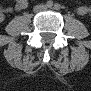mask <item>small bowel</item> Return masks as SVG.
<instances>
[{"mask_svg":"<svg viewBox=\"0 0 91 91\" xmlns=\"http://www.w3.org/2000/svg\"><path fill=\"white\" fill-rule=\"evenodd\" d=\"M27 6H28L27 0H17V1L15 2L14 9H15V10H23V9H25ZM11 10H12V8H7L5 11H6V12H10ZM86 11H87L86 6H80V7L77 8V13H78V14H81V15H82V14H85Z\"/></svg>","mask_w":91,"mask_h":91,"instance_id":"obj_1","label":"small bowel"}]
</instances>
